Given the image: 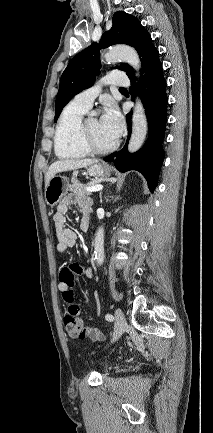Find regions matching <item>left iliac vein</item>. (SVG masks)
<instances>
[{
    "instance_id": "left-iliac-vein-1",
    "label": "left iliac vein",
    "mask_w": 213,
    "mask_h": 433,
    "mask_svg": "<svg viewBox=\"0 0 213 433\" xmlns=\"http://www.w3.org/2000/svg\"><path fill=\"white\" fill-rule=\"evenodd\" d=\"M126 327V319L121 309L115 310V330L112 341H116L123 333Z\"/></svg>"
}]
</instances>
